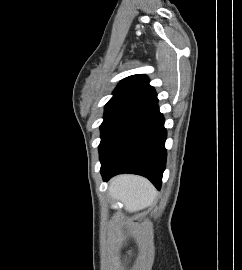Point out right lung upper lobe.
Wrapping results in <instances>:
<instances>
[{"mask_svg":"<svg viewBox=\"0 0 242 270\" xmlns=\"http://www.w3.org/2000/svg\"><path fill=\"white\" fill-rule=\"evenodd\" d=\"M113 97L106 106L131 105L138 107L155 98V89L149 85L147 76L138 74L123 79L114 90Z\"/></svg>","mask_w":242,"mask_h":270,"instance_id":"cb5924a9","label":"right lung upper lobe"}]
</instances>
